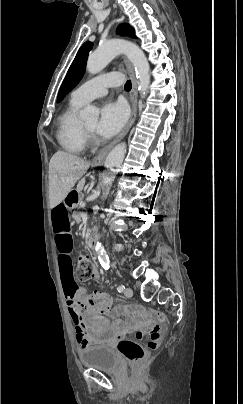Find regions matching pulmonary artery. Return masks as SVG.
<instances>
[{"label": "pulmonary artery", "instance_id": "obj_1", "mask_svg": "<svg viewBox=\"0 0 243 404\" xmlns=\"http://www.w3.org/2000/svg\"><path fill=\"white\" fill-rule=\"evenodd\" d=\"M123 83V80L115 73H103L98 76L92 77L77 88L78 96L85 102L104 96L108 88L116 87Z\"/></svg>", "mask_w": 243, "mask_h": 404}]
</instances>
